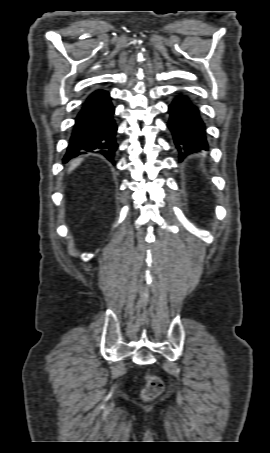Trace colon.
Returning <instances> with one entry per match:
<instances>
[{
  "instance_id": "5ec220e1",
  "label": "colon",
  "mask_w": 270,
  "mask_h": 453,
  "mask_svg": "<svg viewBox=\"0 0 270 453\" xmlns=\"http://www.w3.org/2000/svg\"><path fill=\"white\" fill-rule=\"evenodd\" d=\"M164 385L162 380L153 375H148L146 377V384L142 391V396L144 400H152L159 396L163 391Z\"/></svg>"
}]
</instances>
